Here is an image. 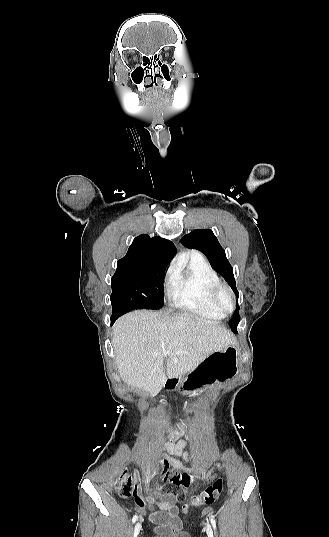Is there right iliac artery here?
Instances as JSON below:
<instances>
[{
    "mask_svg": "<svg viewBox=\"0 0 329 537\" xmlns=\"http://www.w3.org/2000/svg\"><path fill=\"white\" fill-rule=\"evenodd\" d=\"M137 518H138V516H137V514H135V515L133 516V518H132V523H135L136 520H137Z\"/></svg>",
    "mask_w": 329,
    "mask_h": 537,
    "instance_id": "right-iliac-artery-1",
    "label": "right iliac artery"
}]
</instances>
